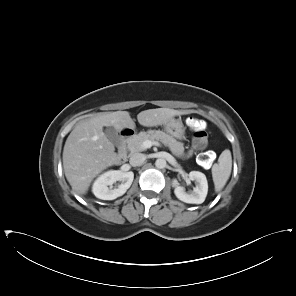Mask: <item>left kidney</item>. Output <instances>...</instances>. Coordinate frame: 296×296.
Wrapping results in <instances>:
<instances>
[{
    "instance_id": "left-kidney-1",
    "label": "left kidney",
    "mask_w": 296,
    "mask_h": 296,
    "mask_svg": "<svg viewBox=\"0 0 296 296\" xmlns=\"http://www.w3.org/2000/svg\"><path fill=\"white\" fill-rule=\"evenodd\" d=\"M189 180L195 181L196 183L193 191L189 193L185 191L184 187L180 186L176 179L172 180V186L174 187L176 197L185 203H203L208 193V182L205 174L199 171H191L189 173Z\"/></svg>"
}]
</instances>
